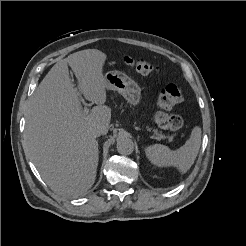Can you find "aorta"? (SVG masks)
Wrapping results in <instances>:
<instances>
[{"mask_svg":"<svg viewBox=\"0 0 246 246\" xmlns=\"http://www.w3.org/2000/svg\"><path fill=\"white\" fill-rule=\"evenodd\" d=\"M117 151L122 155H130L134 151V143L127 135L117 138Z\"/></svg>","mask_w":246,"mask_h":246,"instance_id":"obj_1","label":"aorta"}]
</instances>
